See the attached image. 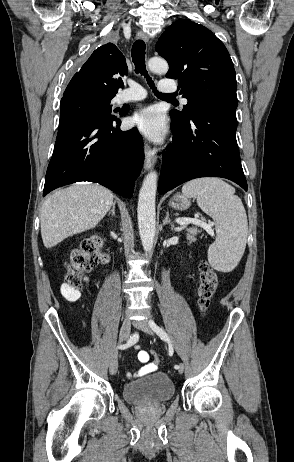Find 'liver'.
Instances as JSON below:
<instances>
[{"instance_id": "liver-1", "label": "liver", "mask_w": 294, "mask_h": 462, "mask_svg": "<svg viewBox=\"0 0 294 462\" xmlns=\"http://www.w3.org/2000/svg\"><path fill=\"white\" fill-rule=\"evenodd\" d=\"M110 190L96 184L73 185L56 191L42 206L41 236L46 248L94 228L113 204Z\"/></svg>"}]
</instances>
